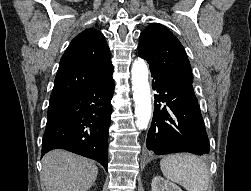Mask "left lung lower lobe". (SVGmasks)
<instances>
[{"instance_id": "obj_1", "label": "left lung lower lobe", "mask_w": 251, "mask_h": 191, "mask_svg": "<svg viewBox=\"0 0 251 191\" xmlns=\"http://www.w3.org/2000/svg\"><path fill=\"white\" fill-rule=\"evenodd\" d=\"M155 109L147 149L156 155L190 152L208 154L209 140L192 84L174 81L150 68ZM157 102H165L163 108Z\"/></svg>"}]
</instances>
